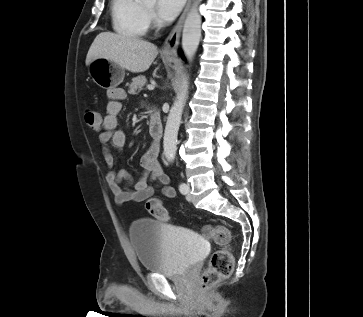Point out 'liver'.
I'll list each match as a JSON object with an SVG mask.
<instances>
[{
    "mask_svg": "<svg viewBox=\"0 0 363 317\" xmlns=\"http://www.w3.org/2000/svg\"><path fill=\"white\" fill-rule=\"evenodd\" d=\"M158 55L157 46L138 37L102 32L96 36L86 56L88 66L94 59L105 58L122 68L139 73L149 69Z\"/></svg>",
    "mask_w": 363,
    "mask_h": 317,
    "instance_id": "obj_1",
    "label": "liver"
}]
</instances>
